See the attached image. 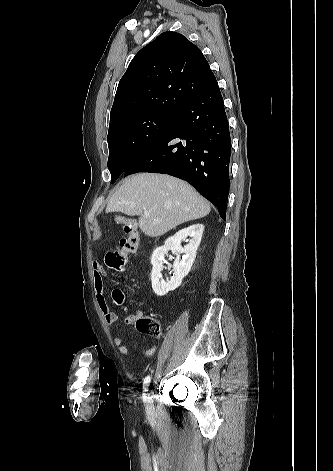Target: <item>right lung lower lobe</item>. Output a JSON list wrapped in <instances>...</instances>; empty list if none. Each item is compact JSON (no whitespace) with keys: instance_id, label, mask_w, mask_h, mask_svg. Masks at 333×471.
Returning a JSON list of instances; mask_svg holds the SVG:
<instances>
[{"instance_id":"1","label":"right lung lower lobe","mask_w":333,"mask_h":471,"mask_svg":"<svg viewBox=\"0 0 333 471\" xmlns=\"http://www.w3.org/2000/svg\"><path fill=\"white\" fill-rule=\"evenodd\" d=\"M230 156L229 123L216 82L182 106L172 124L123 175L151 172L183 179L214 204L225 220Z\"/></svg>"}]
</instances>
